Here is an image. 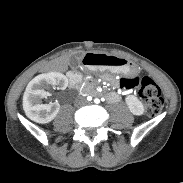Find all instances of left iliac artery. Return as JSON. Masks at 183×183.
Instances as JSON below:
<instances>
[{
	"instance_id": "1",
	"label": "left iliac artery",
	"mask_w": 183,
	"mask_h": 183,
	"mask_svg": "<svg viewBox=\"0 0 183 183\" xmlns=\"http://www.w3.org/2000/svg\"><path fill=\"white\" fill-rule=\"evenodd\" d=\"M94 102H95L96 104H98V103H100V100H99L98 98H96V99L94 100Z\"/></svg>"
}]
</instances>
